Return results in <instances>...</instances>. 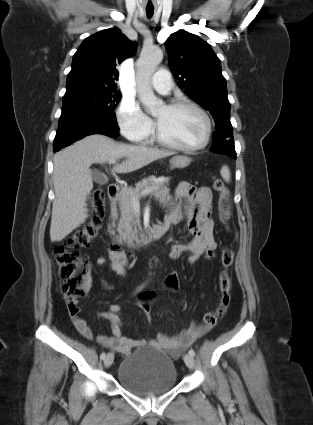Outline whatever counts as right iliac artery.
I'll use <instances>...</instances> for the list:
<instances>
[{
	"label": "right iliac artery",
	"mask_w": 313,
	"mask_h": 425,
	"mask_svg": "<svg viewBox=\"0 0 313 425\" xmlns=\"http://www.w3.org/2000/svg\"><path fill=\"white\" fill-rule=\"evenodd\" d=\"M105 357H106L105 352L101 353L100 358H101L102 360H104V359H105Z\"/></svg>",
	"instance_id": "1"
}]
</instances>
